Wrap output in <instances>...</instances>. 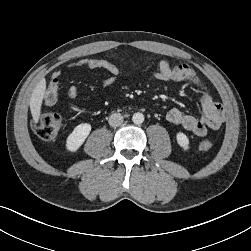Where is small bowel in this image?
Returning a JSON list of instances; mask_svg holds the SVG:
<instances>
[{
    "label": "small bowel",
    "instance_id": "small-bowel-1",
    "mask_svg": "<svg viewBox=\"0 0 251 251\" xmlns=\"http://www.w3.org/2000/svg\"><path fill=\"white\" fill-rule=\"evenodd\" d=\"M110 57L114 58L115 54H112ZM73 66H84L92 70L103 69L108 71L111 74L109 77L99 79V83L104 89L111 90L115 88L118 83L117 76L119 69L111 60L95 58L83 59L73 64ZM60 75L61 73L59 71H55L49 79L44 96L45 106H51L57 100ZM151 77L160 81L188 82L197 87L201 93L203 114L200 118L173 108L166 114L168 122L174 125H179L199 137L205 136L208 130H216L221 126L224 121L222 106L213 100L210 91L190 66L186 64L172 65L166 60H161L158 64V69L151 73ZM77 95V87L71 86L68 90V96L71 99H74Z\"/></svg>",
    "mask_w": 251,
    "mask_h": 251
}]
</instances>
